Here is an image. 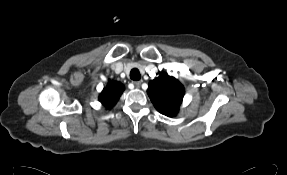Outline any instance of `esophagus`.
I'll return each mask as SVG.
<instances>
[{
    "label": "esophagus",
    "instance_id": "esophagus-1",
    "mask_svg": "<svg viewBox=\"0 0 287 175\" xmlns=\"http://www.w3.org/2000/svg\"><path fill=\"white\" fill-rule=\"evenodd\" d=\"M142 81H135L134 85L136 88H140Z\"/></svg>",
    "mask_w": 287,
    "mask_h": 175
}]
</instances>
